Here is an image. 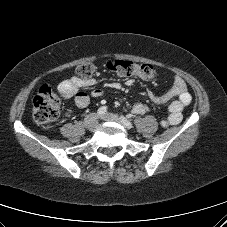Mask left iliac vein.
I'll return each mask as SVG.
<instances>
[{
	"instance_id": "left-iliac-vein-1",
	"label": "left iliac vein",
	"mask_w": 227,
	"mask_h": 227,
	"mask_svg": "<svg viewBox=\"0 0 227 227\" xmlns=\"http://www.w3.org/2000/svg\"><path fill=\"white\" fill-rule=\"evenodd\" d=\"M102 119L104 120H107V121H113V122H116V123H119L121 125H123L124 127H126L123 123V121L121 120L120 117H118L117 115L115 114H112V113H106L104 114L103 116H101Z\"/></svg>"
}]
</instances>
